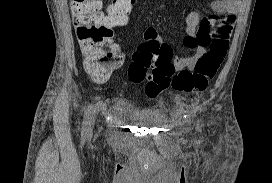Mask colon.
<instances>
[{
  "mask_svg": "<svg viewBox=\"0 0 272 183\" xmlns=\"http://www.w3.org/2000/svg\"><path fill=\"white\" fill-rule=\"evenodd\" d=\"M136 0H111L106 11L100 0H71L75 33L84 56V64L93 78H105L122 63L119 48L113 42V28L123 26ZM209 50L194 69L177 71L172 49L163 42H143L134 53L128 69L131 82L146 81L147 96L155 98L165 90L181 93L204 91L215 77L228 50L227 36H215Z\"/></svg>",
  "mask_w": 272,
  "mask_h": 183,
  "instance_id": "5ec220e1",
  "label": "colon"
}]
</instances>
